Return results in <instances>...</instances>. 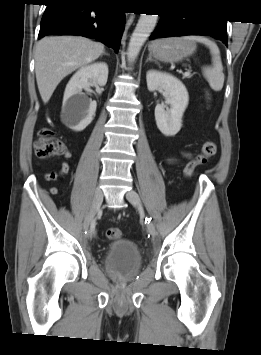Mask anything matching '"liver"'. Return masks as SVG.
I'll list each match as a JSON object with an SVG mask.
<instances>
[{"instance_id": "6515ba94", "label": "liver", "mask_w": 261, "mask_h": 355, "mask_svg": "<svg viewBox=\"0 0 261 355\" xmlns=\"http://www.w3.org/2000/svg\"><path fill=\"white\" fill-rule=\"evenodd\" d=\"M104 45L84 37H45L36 45L35 73L39 93L47 103L67 75L96 60Z\"/></svg>"}]
</instances>
